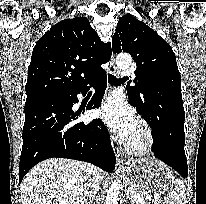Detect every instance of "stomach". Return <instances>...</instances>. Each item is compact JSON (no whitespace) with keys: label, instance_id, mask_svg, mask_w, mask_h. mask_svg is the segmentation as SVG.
I'll use <instances>...</instances> for the list:
<instances>
[{"label":"stomach","instance_id":"0dacf381","mask_svg":"<svg viewBox=\"0 0 206 204\" xmlns=\"http://www.w3.org/2000/svg\"><path fill=\"white\" fill-rule=\"evenodd\" d=\"M129 188L143 196H159L169 187L170 169L155 159L131 160L125 169Z\"/></svg>","mask_w":206,"mask_h":204}]
</instances>
